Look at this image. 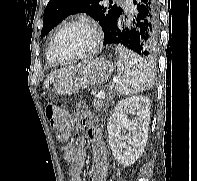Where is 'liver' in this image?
Returning a JSON list of instances; mask_svg holds the SVG:
<instances>
[{"label":"liver","mask_w":197,"mask_h":181,"mask_svg":"<svg viewBox=\"0 0 197 181\" xmlns=\"http://www.w3.org/2000/svg\"><path fill=\"white\" fill-rule=\"evenodd\" d=\"M85 64H80L77 66H72L69 68H62L59 70L53 71L50 76L45 80L44 82V88L48 87L50 84L54 83L55 81H58L59 79H62L63 77L77 71L78 69L82 68Z\"/></svg>","instance_id":"liver-1"}]
</instances>
